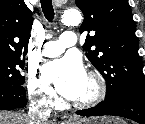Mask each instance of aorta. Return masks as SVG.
<instances>
[{"mask_svg": "<svg viewBox=\"0 0 145 124\" xmlns=\"http://www.w3.org/2000/svg\"><path fill=\"white\" fill-rule=\"evenodd\" d=\"M63 20L68 26H76L81 22L82 16L78 10L71 9L64 13Z\"/></svg>", "mask_w": 145, "mask_h": 124, "instance_id": "762f6f07", "label": "aorta"}]
</instances>
